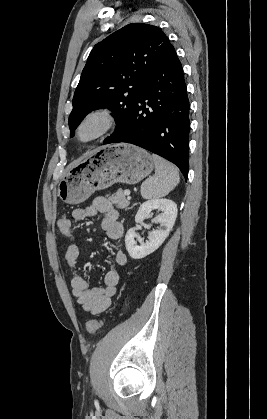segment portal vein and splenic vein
I'll use <instances>...</instances> for the list:
<instances>
[{
    "instance_id": "18ae733b",
    "label": "portal vein and splenic vein",
    "mask_w": 267,
    "mask_h": 419,
    "mask_svg": "<svg viewBox=\"0 0 267 419\" xmlns=\"http://www.w3.org/2000/svg\"><path fill=\"white\" fill-rule=\"evenodd\" d=\"M124 194L127 195V196H129L130 195V190H125L124 191Z\"/></svg>"
}]
</instances>
